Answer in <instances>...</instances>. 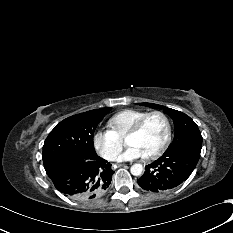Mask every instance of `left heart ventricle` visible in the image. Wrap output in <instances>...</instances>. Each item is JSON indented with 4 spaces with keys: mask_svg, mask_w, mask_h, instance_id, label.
<instances>
[{
    "mask_svg": "<svg viewBox=\"0 0 233 233\" xmlns=\"http://www.w3.org/2000/svg\"><path fill=\"white\" fill-rule=\"evenodd\" d=\"M165 135L166 125L163 118L159 115H153L145 121L137 134L126 139V144L137 146L147 155L162 143Z\"/></svg>",
    "mask_w": 233,
    "mask_h": 233,
    "instance_id": "obj_1",
    "label": "left heart ventricle"
}]
</instances>
